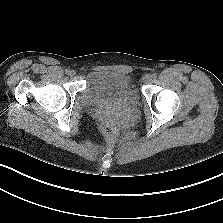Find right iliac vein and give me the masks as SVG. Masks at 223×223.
Masks as SVG:
<instances>
[{"label":"right iliac vein","mask_w":223,"mask_h":223,"mask_svg":"<svg viewBox=\"0 0 223 223\" xmlns=\"http://www.w3.org/2000/svg\"><path fill=\"white\" fill-rule=\"evenodd\" d=\"M76 74V72L74 70L70 71L69 75L70 76H74Z\"/></svg>","instance_id":"obj_1"}]
</instances>
